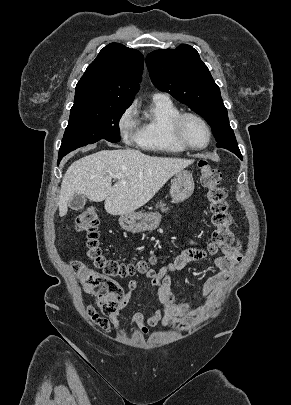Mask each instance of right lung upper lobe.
Segmentation results:
<instances>
[{
    "label": "right lung upper lobe",
    "instance_id": "right-lung-upper-lobe-1",
    "mask_svg": "<svg viewBox=\"0 0 291 405\" xmlns=\"http://www.w3.org/2000/svg\"><path fill=\"white\" fill-rule=\"evenodd\" d=\"M144 57L119 43L105 46L76 85L74 105H131L143 71Z\"/></svg>",
    "mask_w": 291,
    "mask_h": 405
}]
</instances>
